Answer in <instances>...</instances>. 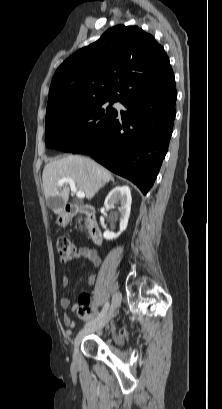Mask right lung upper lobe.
<instances>
[{"mask_svg": "<svg viewBox=\"0 0 222 409\" xmlns=\"http://www.w3.org/2000/svg\"><path fill=\"white\" fill-rule=\"evenodd\" d=\"M173 73L155 38L137 26L117 25L67 58L55 72L46 113L71 104L125 101L167 88Z\"/></svg>", "mask_w": 222, "mask_h": 409, "instance_id": "1", "label": "right lung upper lobe"}]
</instances>
